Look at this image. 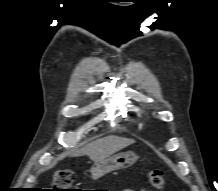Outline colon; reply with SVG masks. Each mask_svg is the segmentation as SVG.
Instances as JSON below:
<instances>
[{
    "label": "colon",
    "instance_id": "obj_1",
    "mask_svg": "<svg viewBox=\"0 0 218 191\" xmlns=\"http://www.w3.org/2000/svg\"><path fill=\"white\" fill-rule=\"evenodd\" d=\"M74 181V172L72 170H59L54 174V191H76L69 187ZM148 183L155 189H161L165 184L164 172L160 169H155L147 173Z\"/></svg>",
    "mask_w": 218,
    "mask_h": 191
}]
</instances>
